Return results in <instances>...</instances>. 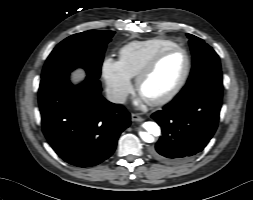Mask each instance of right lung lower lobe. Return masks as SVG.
Instances as JSON below:
<instances>
[{
    "label": "right lung lower lobe",
    "mask_w": 253,
    "mask_h": 200,
    "mask_svg": "<svg viewBox=\"0 0 253 200\" xmlns=\"http://www.w3.org/2000/svg\"><path fill=\"white\" fill-rule=\"evenodd\" d=\"M42 130L64 161L95 166L109 158L119 135L130 125V114L101 95L100 81L87 76L77 86L69 73L42 79L39 86Z\"/></svg>",
    "instance_id": "obj_1"
}]
</instances>
